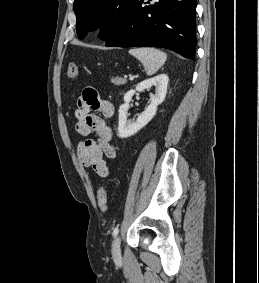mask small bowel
Returning <instances> with one entry per match:
<instances>
[{
	"label": "small bowel",
	"mask_w": 259,
	"mask_h": 283,
	"mask_svg": "<svg viewBox=\"0 0 259 283\" xmlns=\"http://www.w3.org/2000/svg\"><path fill=\"white\" fill-rule=\"evenodd\" d=\"M93 111L100 112L101 116ZM114 113L113 104L102 98L92 87H86L77 100L75 110V130L84 137L78 143L77 157L81 164L90 167L103 178L110 174L109 167L104 159H114L117 156L115 147L112 145V129L106 119ZM95 134V137H90Z\"/></svg>",
	"instance_id": "1"
}]
</instances>
